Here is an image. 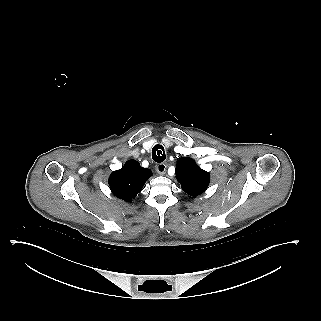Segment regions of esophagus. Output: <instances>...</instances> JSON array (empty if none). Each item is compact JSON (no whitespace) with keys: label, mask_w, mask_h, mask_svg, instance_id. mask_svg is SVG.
<instances>
[{"label":"esophagus","mask_w":321,"mask_h":321,"mask_svg":"<svg viewBox=\"0 0 321 321\" xmlns=\"http://www.w3.org/2000/svg\"><path fill=\"white\" fill-rule=\"evenodd\" d=\"M166 168H167V164H166V163H160V164L157 165V167H156L157 172H158V174H160V175H164V174H165Z\"/></svg>","instance_id":"34e87169"}]
</instances>
